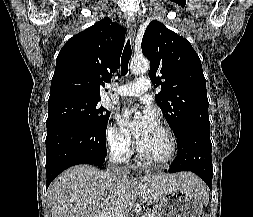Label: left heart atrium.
Listing matches in <instances>:
<instances>
[{
	"label": "left heart atrium",
	"mask_w": 253,
	"mask_h": 217,
	"mask_svg": "<svg viewBox=\"0 0 253 217\" xmlns=\"http://www.w3.org/2000/svg\"><path fill=\"white\" fill-rule=\"evenodd\" d=\"M119 121L122 126L132 131L138 141L157 126L155 115L147 109L143 110L139 117H136V109L127 108L121 113Z\"/></svg>",
	"instance_id": "39dd6f15"
}]
</instances>
